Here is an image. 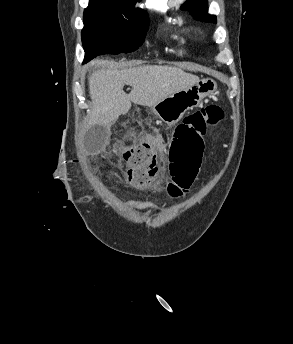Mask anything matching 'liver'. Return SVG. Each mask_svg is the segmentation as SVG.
<instances>
[{
	"label": "liver",
	"mask_w": 293,
	"mask_h": 344,
	"mask_svg": "<svg viewBox=\"0 0 293 344\" xmlns=\"http://www.w3.org/2000/svg\"><path fill=\"white\" fill-rule=\"evenodd\" d=\"M199 81L198 76L169 66L98 70L89 78L91 124L109 127L120 115L130 110L131 102L152 107L162 99ZM124 85L132 87L128 95L123 91Z\"/></svg>",
	"instance_id": "obj_1"
}]
</instances>
